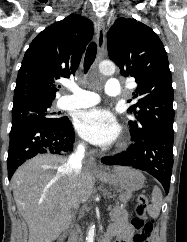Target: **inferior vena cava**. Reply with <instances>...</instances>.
<instances>
[{
    "instance_id": "1",
    "label": "inferior vena cava",
    "mask_w": 187,
    "mask_h": 242,
    "mask_svg": "<svg viewBox=\"0 0 187 242\" xmlns=\"http://www.w3.org/2000/svg\"><path fill=\"white\" fill-rule=\"evenodd\" d=\"M85 148L82 144L78 145L74 153H72L66 164V172L72 178H77L81 173L82 160L84 158ZM76 231H79L77 225H75V233L70 242H79Z\"/></svg>"
}]
</instances>
